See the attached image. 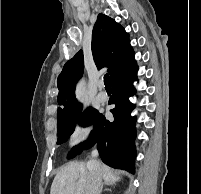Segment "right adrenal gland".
Segmentation results:
<instances>
[{
    "label": "right adrenal gland",
    "instance_id": "right-adrenal-gland-1",
    "mask_svg": "<svg viewBox=\"0 0 201 194\" xmlns=\"http://www.w3.org/2000/svg\"><path fill=\"white\" fill-rule=\"evenodd\" d=\"M103 184L101 185V187H100V190H99V194H101L102 193V191H103ZM107 190H109V191H111V189H107Z\"/></svg>",
    "mask_w": 201,
    "mask_h": 194
}]
</instances>
